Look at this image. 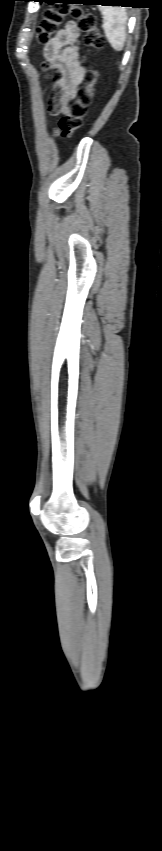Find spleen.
I'll return each instance as SVG.
<instances>
[{
	"instance_id": "1",
	"label": "spleen",
	"mask_w": 162,
	"mask_h": 851,
	"mask_svg": "<svg viewBox=\"0 0 162 851\" xmlns=\"http://www.w3.org/2000/svg\"><path fill=\"white\" fill-rule=\"evenodd\" d=\"M103 16V29L105 35L116 51H121L126 39L127 13L122 7L99 6Z\"/></svg>"
}]
</instances>
